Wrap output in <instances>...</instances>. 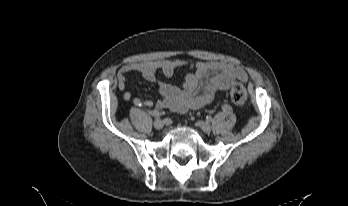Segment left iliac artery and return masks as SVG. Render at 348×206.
Wrapping results in <instances>:
<instances>
[{
    "mask_svg": "<svg viewBox=\"0 0 348 206\" xmlns=\"http://www.w3.org/2000/svg\"><path fill=\"white\" fill-rule=\"evenodd\" d=\"M223 111L226 113H229L231 111V106L230 105L223 106Z\"/></svg>",
    "mask_w": 348,
    "mask_h": 206,
    "instance_id": "1",
    "label": "left iliac artery"
}]
</instances>
